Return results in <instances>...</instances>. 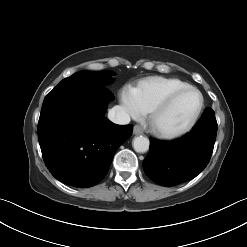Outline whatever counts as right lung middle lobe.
Wrapping results in <instances>:
<instances>
[{
	"mask_svg": "<svg viewBox=\"0 0 247 247\" xmlns=\"http://www.w3.org/2000/svg\"><path fill=\"white\" fill-rule=\"evenodd\" d=\"M114 73L109 71L103 72H90V71H80L71 75L68 78L63 79L55 88L79 85V84H94L105 86L112 82L111 76Z\"/></svg>",
	"mask_w": 247,
	"mask_h": 247,
	"instance_id": "obj_1",
	"label": "right lung middle lobe"
}]
</instances>
